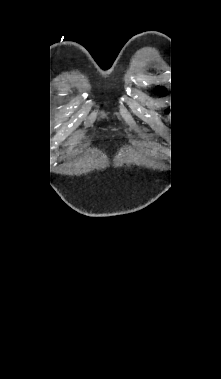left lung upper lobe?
Masks as SVG:
<instances>
[{"label": "left lung upper lobe", "mask_w": 221, "mask_h": 379, "mask_svg": "<svg viewBox=\"0 0 221 379\" xmlns=\"http://www.w3.org/2000/svg\"><path fill=\"white\" fill-rule=\"evenodd\" d=\"M165 91H166V90H165L164 88H160L158 93H160V92H165Z\"/></svg>", "instance_id": "1"}]
</instances>
